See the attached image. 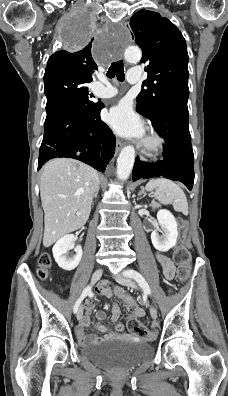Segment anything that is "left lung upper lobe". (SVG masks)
Instances as JSON below:
<instances>
[{"mask_svg":"<svg viewBox=\"0 0 228 396\" xmlns=\"http://www.w3.org/2000/svg\"><path fill=\"white\" fill-rule=\"evenodd\" d=\"M132 37L142 49L148 78L137 97V110L152 118L163 103L188 98V53L179 29L159 13L140 10L130 19Z\"/></svg>","mask_w":228,"mask_h":396,"instance_id":"left-lung-upper-lobe-1","label":"left lung upper lobe"}]
</instances>
